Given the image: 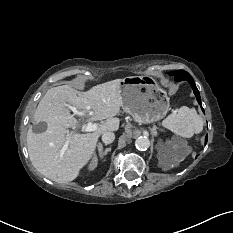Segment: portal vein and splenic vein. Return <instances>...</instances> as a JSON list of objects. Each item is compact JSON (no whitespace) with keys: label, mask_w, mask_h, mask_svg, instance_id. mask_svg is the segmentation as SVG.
<instances>
[{"label":"portal vein and splenic vein","mask_w":233,"mask_h":233,"mask_svg":"<svg viewBox=\"0 0 233 233\" xmlns=\"http://www.w3.org/2000/svg\"><path fill=\"white\" fill-rule=\"evenodd\" d=\"M74 114L78 115V116H86V114L82 111H78L74 108H72ZM98 128V125L97 124H93L92 122H88L86 126H83L81 131L82 132H93V131H96ZM73 133L69 134V137L72 135ZM68 144H69V140L66 141L64 147H63V150H65L67 147H68Z\"/></svg>","instance_id":"obj_1"}]
</instances>
